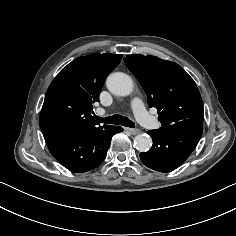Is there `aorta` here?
Segmentation results:
<instances>
[{
	"instance_id": "obj_1",
	"label": "aorta",
	"mask_w": 236,
	"mask_h": 236,
	"mask_svg": "<svg viewBox=\"0 0 236 236\" xmlns=\"http://www.w3.org/2000/svg\"><path fill=\"white\" fill-rule=\"evenodd\" d=\"M108 90L118 96H128L133 91V81L131 77L122 72H115L108 76L106 80ZM136 149L140 152L148 151L152 146V139L147 134H139L134 139Z\"/></svg>"
}]
</instances>
